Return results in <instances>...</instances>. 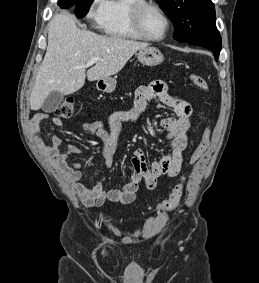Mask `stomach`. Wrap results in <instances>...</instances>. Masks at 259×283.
<instances>
[{
	"label": "stomach",
	"mask_w": 259,
	"mask_h": 283,
	"mask_svg": "<svg viewBox=\"0 0 259 283\" xmlns=\"http://www.w3.org/2000/svg\"><path fill=\"white\" fill-rule=\"evenodd\" d=\"M137 59L140 63L147 66H156L163 62L164 57L156 47L147 46L140 49L137 53ZM117 81L114 78L98 80L97 89L106 93H111L116 89Z\"/></svg>",
	"instance_id": "stomach-1"
}]
</instances>
